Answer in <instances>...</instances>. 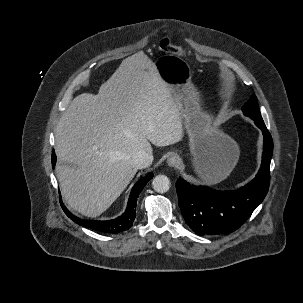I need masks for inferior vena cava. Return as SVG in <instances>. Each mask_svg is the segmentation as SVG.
I'll return each mask as SVG.
<instances>
[{
	"label": "inferior vena cava",
	"mask_w": 303,
	"mask_h": 303,
	"mask_svg": "<svg viewBox=\"0 0 303 303\" xmlns=\"http://www.w3.org/2000/svg\"><path fill=\"white\" fill-rule=\"evenodd\" d=\"M132 161L137 169H143L152 164L153 155L145 151H139L133 156Z\"/></svg>",
	"instance_id": "1"
}]
</instances>
